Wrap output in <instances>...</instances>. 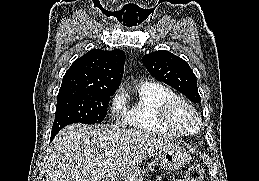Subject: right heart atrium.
<instances>
[{
    "label": "right heart atrium",
    "instance_id": "1",
    "mask_svg": "<svg viewBox=\"0 0 259 181\" xmlns=\"http://www.w3.org/2000/svg\"><path fill=\"white\" fill-rule=\"evenodd\" d=\"M126 99L122 91L114 94L110 101V114L117 124L125 121Z\"/></svg>",
    "mask_w": 259,
    "mask_h": 181
}]
</instances>
